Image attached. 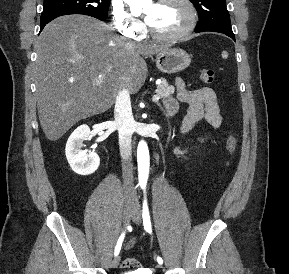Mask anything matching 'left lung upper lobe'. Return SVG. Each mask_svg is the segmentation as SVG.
<instances>
[{
	"label": "left lung upper lobe",
	"instance_id": "5c2ea615",
	"mask_svg": "<svg viewBox=\"0 0 289 274\" xmlns=\"http://www.w3.org/2000/svg\"><path fill=\"white\" fill-rule=\"evenodd\" d=\"M197 9L199 22L195 32H232L226 0H190Z\"/></svg>",
	"mask_w": 289,
	"mask_h": 274
}]
</instances>
